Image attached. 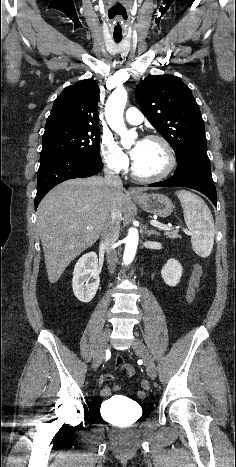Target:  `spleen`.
<instances>
[{"mask_svg": "<svg viewBox=\"0 0 236 467\" xmlns=\"http://www.w3.org/2000/svg\"><path fill=\"white\" fill-rule=\"evenodd\" d=\"M184 213V220L191 232L194 252L208 257L213 249L215 227L212 214L205 202L186 190L176 192Z\"/></svg>", "mask_w": 236, "mask_h": 467, "instance_id": "obj_1", "label": "spleen"}]
</instances>
